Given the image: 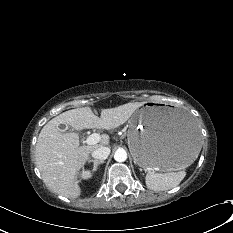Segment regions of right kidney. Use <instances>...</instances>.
Masks as SVG:
<instances>
[{
    "instance_id": "obj_1",
    "label": "right kidney",
    "mask_w": 233,
    "mask_h": 233,
    "mask_svg": "<svg viewBox=\"0 0 233 233\" xmlns=\"http://www.w3.org/2000/svg\"><path fill=\"white\" fill-rule=\"evenodd\" d=\"M82 178H84V179H88V178H90L91 177V172H89V171H82V176H81Z\"/></svg>"
}]
</instances>
